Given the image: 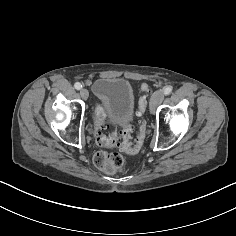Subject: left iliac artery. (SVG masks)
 I'll use <instances>...</instances> for the list:
<instances>
[{
    "mask_svg": "<svg viewBox=\"0 0 236 236\" xmlns=\"http://www.w3.org/2000/svg\"><path fill=\"white\" fill-rule=\"evenodd\" d=\"M172 92V87L167 86L164 88V94L169 95Z\"/></svg>",
    "mask_w": 236,
    "mask_h": 236,
    "instance_id": "44dca946",
    "label": "left iliac artery"
}]
</instances>
